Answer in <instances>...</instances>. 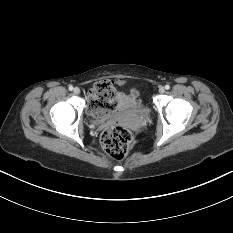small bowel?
Here are the masks:
<instances>
[{"label": "small bowel", "mask_w": 233, "mask_h": 233, "mask_svg": "<svg viewBox=\"0 0 233 233\" xmlns=\"http://www.w3.org/2000/svg\"><path fill=\"white\" fill-rule=\"evenodd\" d=\"M117 101L118 107L121 109L136 105L140 102L138 99V93L135 89H131L129 93H117Z\"/></svg>", "instance_id": "small-bowel-1"}]
</instances>
